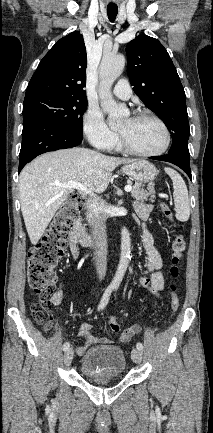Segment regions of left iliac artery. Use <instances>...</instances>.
<instances>
[{
  "instance_id": "left-iliac-artery-1",
  "label": "left iliac artery",
  "mask_w": 213,
  "mask_h": 433,
  "mask_svg": "<svg viewBox=\"0 0 213 433\" xmlns=\"http://www.w3.org/2000/svg\"><path fill=\"white\" fill-rule=\"evenodd\" d=\"M137 349L142 350L143 349V345L142 343L138 342L136 345Z\"/></svg>"
}]
</instances>
